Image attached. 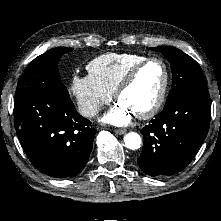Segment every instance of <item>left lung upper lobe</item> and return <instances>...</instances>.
I'll list each match as a JSON object with an SVG mask.
<instances>
[{
  "instance_id": "5c2ea615",
  "label": "left lung upper lobe",
  "mask_w": 221,
  "mask_h": 221,
  "mask_svg": "<svg viewBox=\"0 0 221 221\" xmlns=\"http://www.w3.org/2000/svg\"><path fill=\"white\" fill-rule=\"evenodd\" d=\"M150 50L161 52L171 63L173 83L165 107L192 91L207 89L203 71L193 58L171 46L153 47Z\"/></svg>"
}]
</instances>
